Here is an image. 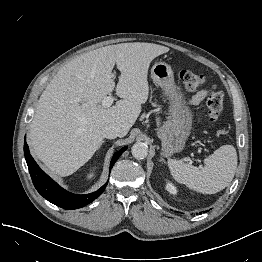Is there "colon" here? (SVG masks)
<instances>
[{
	"label": "colon",
	"mask_w": 262,
	"mask_h": 262,
	"mask_svg": "<svg viewBox=\"0 0 262 262\" xmlns=\"http://www.w3.org/2000/svg\"><path fill=\"white\" fill-rule=\"evenodd\" d=\"M180 79L189 91H198L206 84V78L203 74L191 70H182ZM205 104L208 119L211 122L217 121L224 106V93L215 86L211 87Z\"/></svg>",
	"instance_id": "1"
}]
</instances>
